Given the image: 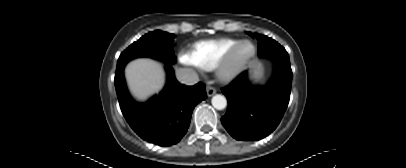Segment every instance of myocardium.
<instances>
[{"mask_svg":"<svg viewBox=\"0 0 406 168\" xmlns=\"http://www.w3.org/2000/svg\"><path fill=\"white\" fill-rule=\"evenodd\" d=\"M249 44L252 46V51L246 57L239 59L238 54L240 49ZM257 54L256 45L247 39L238 41L221 59L216 67V75L222 82H229L235 79L253 60Z\"/></svg>","mask_w":406,"mask_h":168,"instance_id":"f54148a6","label":"myocardium"}]
</instances>
